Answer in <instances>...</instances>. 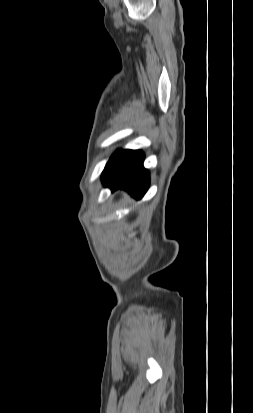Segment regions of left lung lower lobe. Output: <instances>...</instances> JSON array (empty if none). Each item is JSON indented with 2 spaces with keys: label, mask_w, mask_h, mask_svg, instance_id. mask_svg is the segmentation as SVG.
<instances>
[{
  "label": "left lung lower lobe",
  "mask_w": 253,
  "mask_h": 413,
  "mask_svg": "<svg viewBox=\"0 0 253 413\" xmlns=\"http://www.w3.org/2000/svg\"><path fill=\"white\" fill-rule=\"evenodd\" d=\"M144 154L138 150H119L107 162L102 183L111 190L124 189L133 197L144 196L149 187V174L143 167Z\"/></svg>",
  "instance_id": "1"
}]
</instances>
